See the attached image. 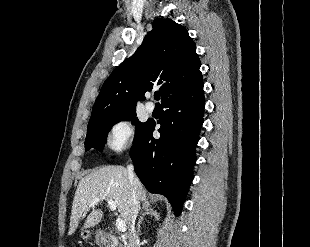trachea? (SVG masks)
<instances>
[{"label":"trachea","mask_w":310,"mask_h":247,"mask_svg":"<svg viewBox=\"0 0 310 247\" xmlns=\"http://www.w3.org/2000/svg\"><path fill=\"white\" fill-rule=\"evenodd\" d=\"M154 98H155V100H159V98H160V92H155V94H154Z\"/></svg>","instance_id":"obj_1"}]
</instances>
